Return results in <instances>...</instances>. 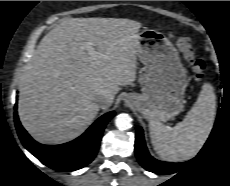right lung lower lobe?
Here are the masks:
<instances>
[{
	"label": "right lung lower lobe",
	"instance_id": "98d812e1",
	"mask_svg": "<svg viewBox=\"0 0 230 186\" xmlns=\"http://www.w3.org/2000/svg\"><path fill=\"white\" fill-rule=\"evenodd\" d=\"M114 114L115 112H109L101 116L74 141L55 146L42 145L34 141L20 124L16 111L14 118L18 135L29 152L52 169L74 171L89 164L96 156L102 132Z\"/></svg>",
	"mask_w": 230,
	"mask_h": 186
}]
</instances>
